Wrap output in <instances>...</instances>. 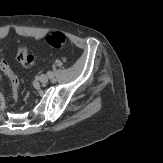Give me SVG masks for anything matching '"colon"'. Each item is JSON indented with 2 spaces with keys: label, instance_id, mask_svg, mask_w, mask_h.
I'll return each mask as SVG.
<instances>
[{
  "label": "colon",
  "instance_id": "1",
  "mask_svg": "<svg viewBox=\"0 0 163 163\" xmlns=\"http://www.w3.org/2000/svg\"><path fill=\"white\" fill-rule=\"evenodd\" d=\"M46 42L49 46L59 49L65 44V36L61 32H51L46 36ZM17 60L25 68H30L35 64V57L29 53L25 45H21L17 51ZM0 71L4 74L11 90L12 97L16 100L18 96V79L11 68L0 57Z\"/></svg>",
  "mask_w": 163,
  "mask_h": 163
}]
</instances>
